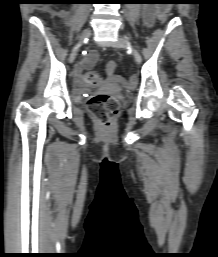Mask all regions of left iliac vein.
Wrapping results in <instances>:
<instances>
[{
	"label": "left iliac vein",
	"mask_w": 218,
	"mask_h": 257,
	"mask_svg": "<svg viewBox=\"0 0 218 257\" xmlns=\"http://www.w3.org/2000/svg\"><path fill=\"white\" fill-rule=\"evenodd\" d=\"M114 46L117 48H128L129 43L125 36H119L118 39L116 40ZM131 50H132V53H133V56H134L136 62L138 64H140L142 62V57H141L140 53L133 47H131Z\"/></svg>",
	"instance_id": "1"
}]
</instances>
